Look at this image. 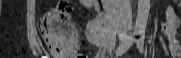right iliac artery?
<instances>
[{"mask_svg": "<svg viewBox=\"0 0 181 58\" xmlns=\"http://www.w3.org/2000/svg\"><path fill=\"white\" fill-rule=\"evenodd\" d=\"M135 40V34L130 35L124 43L118 46L116 50V56H122L130 48Z\"/></svg>", "mask_w": 181, "mask_h": 58, "instance_id": "obj_1", "label": "right iliac artery"}]
</instances>
